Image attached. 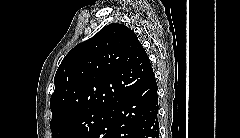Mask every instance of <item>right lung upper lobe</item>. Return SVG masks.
Here are the masks:
<instances>
[{
	"label": "right lung upper lobe",
	"mask_w": 240,
	"mask_h": 138,
	"mask_svg": "<svg viewBox=\"0 0 240 138\" xmlns=\"http://www.w3.org/2000/svg\"><path fill=\"white\" fill-rule=\"evenodd\" d=\"M153 78L136 34L122 24H109L61 62L50 100L51 122L86 109L109 108Z\"/></svg>",
	"instance_id": "right-lung-upper-lobe-1"
}]
</instances>
